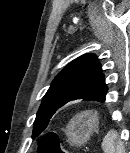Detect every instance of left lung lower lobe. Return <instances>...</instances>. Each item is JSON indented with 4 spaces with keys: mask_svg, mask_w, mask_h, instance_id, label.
Returning a JSON list of instances; mask_svg holds the SVG:
<instances>
[{
    "mask_svg": "<svg viewBox=\"0 0 130 153\" xmlns=\"http://www.w3.org/2000/svg\"><path fill=\"white\" fill-rule=\"evenodd\" d=\"M105 95H106V93H105ZM105 95L102 97V99L100 100V102H104L105 101ZM70 101H72V100H70ZM67 102H69V101H67ZM66 102V103H67ZM65 105V104H64Z\"/></svg>",
    "mask_w": 130,
    "mask_h": 153,
    "instance_id": "0a47b994",
    "label": "left lung lower lobe"
}]
</instances>
